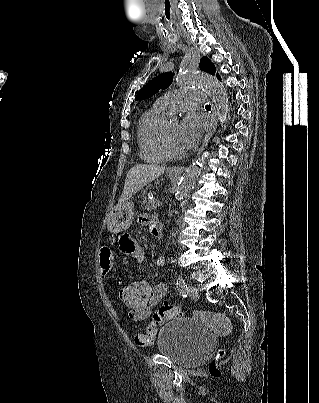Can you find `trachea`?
<instances>
[{"label": "trachea", "mask_w": 319, "mask_h": 403, "mask_svg": "<svg viewBox=\"0 0 319 403\" xmlns=\"http://www.w3.org/2000/svg\"><path fill=\"white\" fill-rule=\"evenodd\" d=\"M205 108H206V109H211V105H210V104H209V105H206Z\"/></svg>", "instance_id": "trachea-1"}]
</instances>
